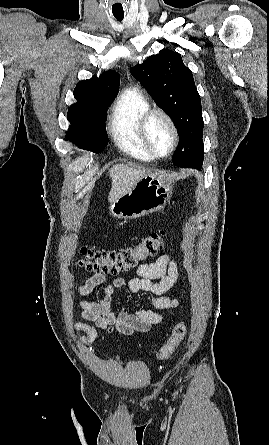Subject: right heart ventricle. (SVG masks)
I'll return each mask as SVG.
<instances>
[{
  "label": "right heart ventricle",
  "instance_id": "e07e8e85",
  "mask_svg": "<svg viewBox=\"0 0 269 445\" xmlns=\"http://www.w3.org/2000/svg\"><path fill=\"white\" fill-rule=\"evenodd\" d=\"M149 109L147 98L139 90L129 88L116 100L109 117V131L115 144L123 152L141 161L155 159L139 135L140 119Z\"/></svg>",
  "mask_w": 269,
  "mask_h": 445
}]
</instances>
